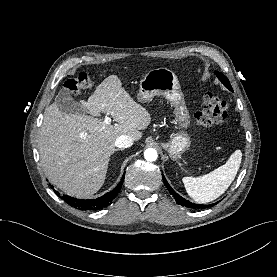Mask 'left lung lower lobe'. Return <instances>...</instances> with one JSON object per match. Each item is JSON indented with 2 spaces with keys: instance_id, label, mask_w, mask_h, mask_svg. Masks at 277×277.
Listing matches in <instances>:
<instances>
[{
  "instance_id": "1",
  "label": "left lung lower lobe",
  "mask_w": 277,
  "mask_h": 277,
  "mask_svg": "<svg viewBox=\"0 0 277 277\" xmlns=\"http://www.w3.org/2000/svg\"><path fill=\"white\" fill-rule=\"evenodd\" d=\"M164 184L167 186L169 192L173 195L175 201L177 204L181 205V206H185L191 209H204V208H208L213 206L214 204L211 205H203V204H193L191 202H189L188 200L184 199L183 197H181L180 195H178L171 187L170 185L167 183L166 179L164 178V176L162 175Z\"/></svg>"
}]
</instances>
